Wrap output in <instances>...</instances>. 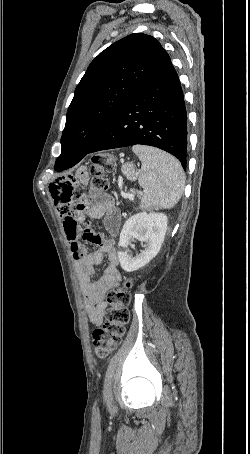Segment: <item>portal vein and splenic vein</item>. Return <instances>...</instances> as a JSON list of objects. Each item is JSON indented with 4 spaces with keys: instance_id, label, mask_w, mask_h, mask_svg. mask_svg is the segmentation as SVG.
<instances>
[{
    "instance_id": "18ae733b",
    "label": "portal vein and splenic vein",
    "mask_w": 250,
    "mask_h": 454,
    "mask_svg": "<svg viewBox=\"0 0 250 454\" xmlns=\"http://www.w3.org/2000/svg\"><path fill=\"white\" fill-rule=\"evenodd\" d=\"M122 197L123 198H128L131 201L134 200V195L133 194L122 193Z\"/></svg>"
}]
</instances>
